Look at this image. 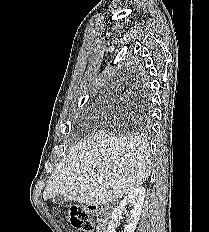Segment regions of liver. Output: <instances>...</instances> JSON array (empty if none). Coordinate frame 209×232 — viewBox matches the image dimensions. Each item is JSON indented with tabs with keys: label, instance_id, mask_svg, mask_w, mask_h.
<instances>
[{
	"label": "liver",
	"instance_id": "6515ba94",
	"mask_svg": "<svg viewBox=\"0 0 209 232\" xmlns=\"http://www.w3.org/2000/svg\"><path fill=\"white\" fill-rule=\"evenodd\" d=\"M151 174L150 146L141 135L98 132L72 147L43 192L87 205L109 204L128 195Z\"/></svg>",
	"mask_w": 209,
	"mask_h": 232
}]
</instances>
